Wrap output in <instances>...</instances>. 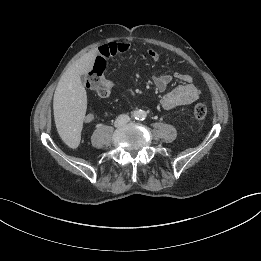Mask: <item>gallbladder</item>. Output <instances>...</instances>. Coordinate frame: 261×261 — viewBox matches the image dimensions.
I'll return each mask as SVG.
<instances>
[{"label": "gallbladder", "mask_w": 261, "mask_h": 261, "mask_svg": "<svg viewBox=\"0 0 261 261\" xmlns=\"http://www.w3.org/2000/svg\"><path fill=\"white\" fill-rule=\"evenodd\" d=\"M86 80V76L85 75H81V81L84 82Z\"/></svg>", "instance_id": "1"}]
</instances>
